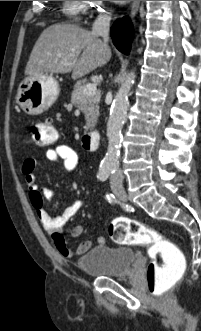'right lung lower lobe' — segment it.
I'll use <instances>...</instances> for the list:
<instances>
[{
  "mask_svg": "<svg viewBox=\"0 0 201 331\" xmlns=\"http://www.w3.org/2000/svg\"><path fill=\"white\" fill-rule=\"evenodd\" d=\"M111 36L114 45L119 51L128 54L133 38V28L130 19L127 17L117 20L111 27Z\"/></svg>",
  "mask_w": 201,
  "mask_h": 331,
  "instance_id": "right-lung-lower-lobe-1",
  "label": "right lung lower lobe"
}]
</instances>
